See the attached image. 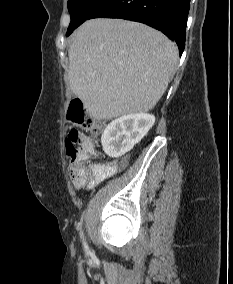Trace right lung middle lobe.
Here are the masks:
<instances>
[{
    "label": "right lung middle lobe",
    "instance_id": "obj_1",
    "mask_svg": "<svg viewBox=\"0 0 233 284\" xmlns=\"http://www.w3.org/2000/svg\"><path fill=\"white\" fill-rule=\"evenodd\" d=\"M108 0H68V10L71 22L66 35L69 36L75 28L82 24L94 11Z\"/></svg>",
    "mask_w": 233,
    "mask_h": 284
}]
</instances>
